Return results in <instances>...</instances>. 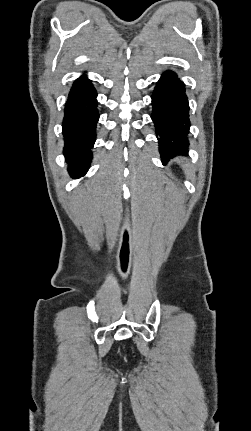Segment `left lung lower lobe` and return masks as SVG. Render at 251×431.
Returning <instances> with one entry per match:
<instances>
[{"label":"left lung lower lobe","mask_w":251,"mask_h":431,"mask_svg":"<svg viewBox=\"0 0 251 431\" xmlns=\"http://www.w3.org/2000/svg\"><path fill=\"white\" fill-rule=\"evenodd\" d=\"M151 118L159 137V150L164 163L187 151L190 127L189 104L185 85L174 72L161 76L152 95Z\"/></svg>","instance_id":"obj_1"}]
</instances>
